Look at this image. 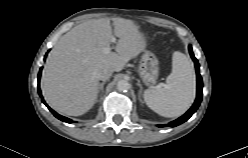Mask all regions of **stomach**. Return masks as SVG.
Returning a JSON list of instances; mask_svg holds the SVG:
<instances>
[{
    "mask_svg": "<svg viewBox=\"0 0 248 158\" xmlns=\"http://www.w3.org/2000/svg\"><path fill=\"white\" fill-rule=\"evenodd\" d=\"M138 73L147 86L156 84L159 75V61L152 52H144L139 64Z\"/></svg>",
    "mask_w": 248,
    "mask_h": 158,
    "instance_id": "0dacf381",
    "label": "stomach"
}]
</instances>
